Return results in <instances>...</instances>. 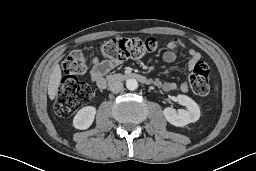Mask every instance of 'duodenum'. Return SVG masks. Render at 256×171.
Returning <instances> with one entry per match:
<instances>
[{"instance_id": "1", "label": "duodenum", "mask_w": 256, "mask_h": 171, "mask_svg": "<svg viewBox=\"0 0 256 171\" xmlns=\"http://www.w3.org/2000/svg\"><path fill=\"white\" fill-rule=\"evenodd\" d=\"M130 79L139 81L141 83H148L149 82V80L145 76L140 75V74H136V73L121 74V73H118V74L110 75L108 77L107 81H106V85L121 82V81H124V80H130Z\"/></svg>"}]
</instances>
